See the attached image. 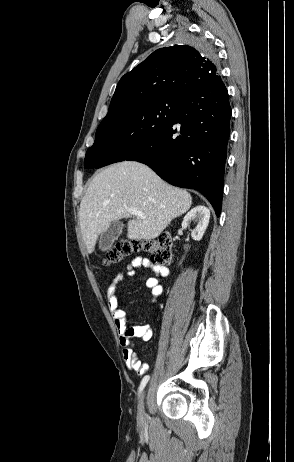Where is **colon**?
Returning a JSON list of instances; mask_svg holds the SVG:
<instances>
[{
	"instance_id": "colon-1",
	"label": "colon",
	"mask_w": 294,
	"mask_h": 462,
	"mask_svg": "<svg viewBox=\"0 0 294 462\" xmlns=\"http://www.w3.org/2000/svg\"><path fill=\"white\" fill-rule=\"evenodd\" d=\"M134 251H143L157 265H170L173 261L172 238L169 234H161L150 240H122L109 248L105 254L104 264L111 265Z\"/></svg>"
}]
</instances>
